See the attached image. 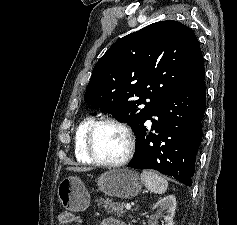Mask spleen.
<instances>
[{
	"mask_svg": "<svg viewBox=\"0 0 237 225\" xmlns=\"http://www.w3.org/2000/svg\"><path fill=\"white\" fill-rule=\"evenodd\" d=\"M145 187L155 194H163L166 192L168 182L165 178L153 171H143L140 175Z\"/></svg>",
	"mask_w": 237,
	"mask_h": 225,
	"instance_id": "spleen-1",
	"label": "spleen"
}]
</instances>
